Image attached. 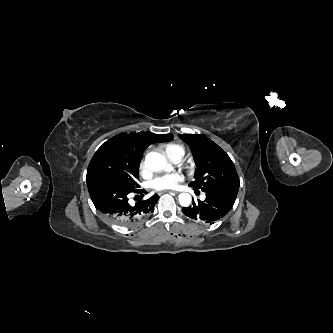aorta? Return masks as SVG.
<instances>
[{
	"mask_svg": "<svg viewBox=\"0 0 333 333\" xmlns=\"http://www.w3.org/2000/svg\"><path fill=\"white\" fill-rule=\"evenodd\" d=\"M145 165L148 169L153 171H160L166 167L169 169L171 166L167 165L165 157L157 152H151L145 157ZM179 203L182 206H189L191 203V196L188 193H181L179 195Z\"/></svg>",
	"mask_w": 333,
	"mask_h": 333,
	"instance_id": "aorta-1",
	"label": "aorta"
}]
</instances>
